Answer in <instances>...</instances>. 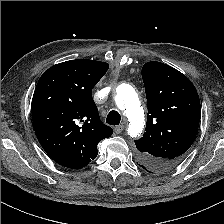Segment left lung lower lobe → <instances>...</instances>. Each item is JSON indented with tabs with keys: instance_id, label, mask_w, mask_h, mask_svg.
Here are the masks:
<instances>
[{
	"instance_id": "1",
	"label": "left lung lower lobe",
	"mask_w": 224,
	"mask_h": 224,
	"mask_svg": "<svg viewBox=\"0 0 224 224\" xmlns=\"http://www.w3.org/2000/svg\"><path fill=\"white\" fill-rule=\"evenodd\" d=\"M139 165H140V164H139ZM141 167H142L143 169L149 171V169H148L145 165L141 164Z\"/></svg>"
}]
</instances>
